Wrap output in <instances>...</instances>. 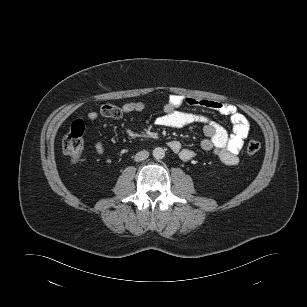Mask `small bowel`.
Here are the masks:
<instances>
[{"instance_id": "c3829d8e", "label": "small bowel", "mask_w": 307, "mask_h": 307, "mask_svg": "<svg viewBox=\"0 0 307 307\" xmlns=\"http://www.w3.org/2000/svg\"><path fill=\"white\" fill-rule=\"evenodd\" d=\"M183 104L206 108L229 116L232 123V132L228 133L222 125L204 114L180 110L179 108ZM144 109L145 104L143 102H128L120 106L105 104L100 108L99 112L90 111L87 114V119L96 121L99 116L119 119L124 114L140 112ZM155 123L162 127L171 128H179L194 123L203 124L206 138L201 142V148L205 151H213L227 165L238 163V154L250 130L247 118L231 103L212 99L183 97L176 94L169 97L164 106V114L157 117ZM168 146L183 161H190L195 156V152L192 149L182 147L177 140L169 141ZM94 149L99 155L105 154L104 146L100 141L95 143Z\"/></svg>"}]
</instances>
